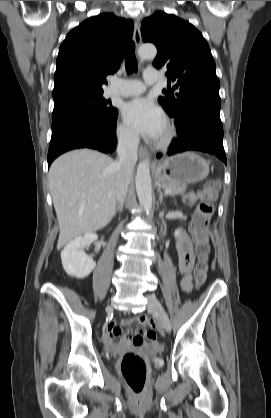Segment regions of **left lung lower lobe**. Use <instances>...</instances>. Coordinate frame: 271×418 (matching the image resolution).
Listing matches in <instances>:
<instances>
[{"instance_id": "obj_1", "label": "left lung lower lobe", "mask_w": 271, "mask_h": 418, "mask_svg": "<svg viewBox=\"0 0 271 418\" xmlns=\"http://www.w3.org/2000/svg\"><path fill=\"white\" fill-rule=\"evenodd\" d=\"M175 124L178 138L173 140L168 155L196 150L213 154L226 163L219 110L199 108L185 112L175 117Z\"/></svg>"}]
</instances>
